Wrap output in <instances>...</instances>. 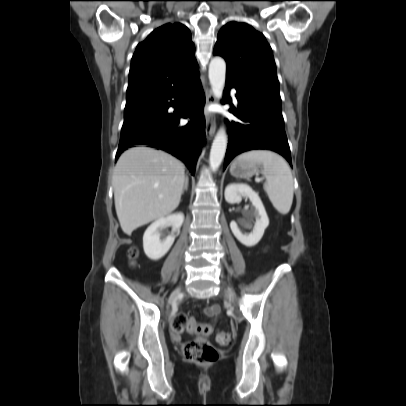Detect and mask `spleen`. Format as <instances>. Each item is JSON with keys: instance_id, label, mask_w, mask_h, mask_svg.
<instances>
[{"instance_id": "obj_1", "label": "spleen", "mask_w": 406, "mask_h": 406, "mask_svg": "<svg viewBox=\"0 0 406 406\" xmlns=\"http://www.w3.org/2000/svg\"><path fill=\"white\" fill-rule=\"evenodd\" d=\"M241 160L262 164V174L266 179V191L274 208L281 214H287L293 202V176L287 162L278 154L268 150H252L242 153Z\"/></svg>"}]
</instances>
